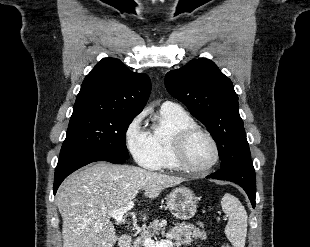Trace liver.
<instances>
[{
	"mask_svg": "<svg viewBox=\"0 0 310 247\" xmlns=\"http://www.w3.org/2000/svg\"><path fill=\"white\" fill-rule=\"evenodd\" d=\"M185 179L137 166L97 162L72 174L58 189L63 247H113L118 237L109 213L134 200L140 190L154 199ZM146 220V216H143Z\"/></svg>",
	"mask_w": 310,
	"mask_h": 247,
	"instance_id": "liver-1",
	"label": "liver"
}]
</instances>
